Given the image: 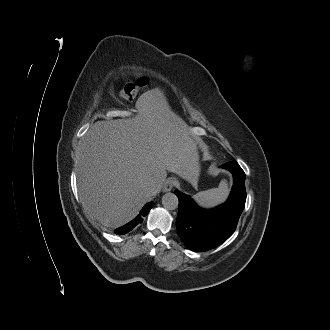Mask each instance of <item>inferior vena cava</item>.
<instances>
[{
	"mask_svg": "<svg viewBox=\"0 0 330 330\" xmlns=\"http://www.w3.org/2000/svg\"><path fill=\"white\" fill-rule=\"evenodd\" d=\"M147 188L149 192L153 193L156 189V181L153 179H149V181L147 182Z\"/></svg>",
	"mask_w": 330,
	"mask_h": 330,
	"instance_id": "inferior-vena-cava-1",
	"label": "inferior vena cava"
}]
</instances>
